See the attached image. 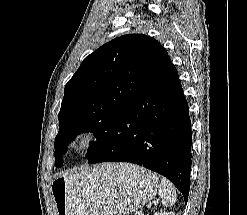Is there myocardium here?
I'll list each match as a JSON object with an SVG mask.
<instances>
[{"mask_svg": "<svg viewBox=\"0 0 247 215\" xmlns=\"http://www.w3.org/2000/svg\"><path fill=\"white\" fill-rule=\"evenodd\" d=\"M96 141V132L91 129H81L72 137L70 147L76 153H83L88 151Z\"/></svg>", "mask_w": 247, "mask_h": 215, "instance_id": "obj_1", "label": "myocardium"}]
</instances>
